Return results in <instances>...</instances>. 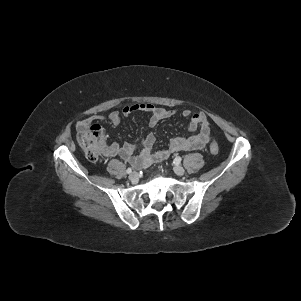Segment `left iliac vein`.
Wrapping results in <instances>:
<instances>
[{
	"label": "left iliac vein",
	"mask_w": 301,
	"mask_h": 301,
	"mask_svg": "<svg viewBox=\"0 0 301 301\" xmlns=\"http://www.w3.org/2000/svg\"><path fill=\"white\" fill-rule=\"evenodd\" d=\"M173 169L178 176H183L185 174V169L180 165H175Z\"/></svg>",
	"instance_id": "left-iliac-vein-1"
}]
</instances>
